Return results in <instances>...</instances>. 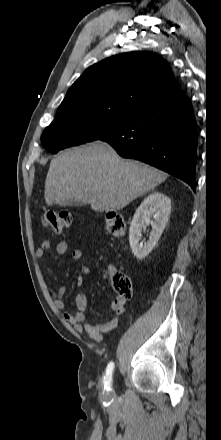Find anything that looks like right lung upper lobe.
I'll list each match as a JSON object with an SVG mask.
<instances>
[{
	"instance_id": "cb5924a9",
	"label": "right lung upper lobe",
	"mask_w": 221,
	"mask_h": 440,
	"mask_svg": "<svg viewBox=\"0 0 221 440\" xmlns=\"http://www.w3.org/2000/svg\"><path fill=\"white\" fill-rule=\"evenodd\" d=\"M177 90L180 86L163 58L152 52H131L109 57L86 69L60 106L109 101L137 109Z\"/></svg>"
}]
</instances>
